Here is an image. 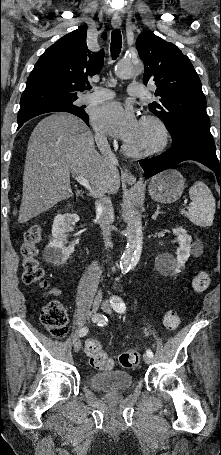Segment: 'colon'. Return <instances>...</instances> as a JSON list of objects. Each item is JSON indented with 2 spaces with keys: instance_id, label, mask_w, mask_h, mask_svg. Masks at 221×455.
Returning a JSON list of instances; mask_svg holds the SVG:
<instances>
[{
  "instance_id": "1",
  "label": "colon",
  "mask_w": 221,
  "mask_h": 455,
  "mask_svg": "<svg viewBox=\"0 0 221 455\" xmlns=\"http://www.w3.org/2000/svg\"><path fill=\"white\" fill-rule=\"evenodd\" d=\"M42 239V227L32 225L22 232V244L19 252L23 269V281L29 285L44 286L43 269L38 262V245ZM210 284V274L207 271L198 272L192 279L191 290L194 293L204 292ZM40 321L55 338H63L68 332V315L64 305L59 301H51L40 312ZM163 324L169 330L180 326V316L177 311L170 310L163 316ZM85 353L92 367L107 370L113 367L112 358L102 349L97 339L89 338L85 342ZM119 364L123 368L136 367L140 362V353L126 351L119 355Z\"/></svg>"
}]
</instances>
